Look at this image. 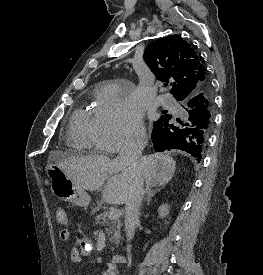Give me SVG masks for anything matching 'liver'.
Masks as SVG:
<instances>
[{
	"label": "liver",
	"mask_w": 263,
	"mask_h": 275,
	"mask_svg": "<svg viewBox=\"0 0 263 275\" xmlns=\"http://www.w3.org/2000/svg\"><path fill=\"white\" fill-rule=\"evenodd\" d=\"M49 160L55 162L78 188L96 191L104 186L102 198L108 204H124L129 183L122 174L117 159L104 155L67 157L59 151H52ZM143 179L149 187L164 186L173 177L176 163L165 153L140 157ZM106 182V184H105Z\"/></svg>",
	"instance_id": "6515ba94"
}]
</instances>
